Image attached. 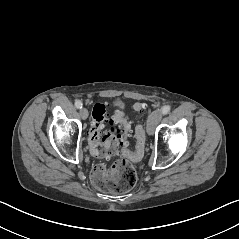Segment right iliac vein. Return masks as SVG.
<instances>
[{"mask_svg": "<svg viewBox=\"0 0 239 239\" xmlns=\"http://www.w3.org/2000/svg\"><path fill=\"white\" fill-rule=\"evenodd\" d=\"M80 116L83 120L87 119L88 117V110L86 108L80 109Z\"/></svg>", "mask_w": 239, "mask_h": 239, "instance_id": "obj_1", "label": "right iliac vein"}]
</instances>
